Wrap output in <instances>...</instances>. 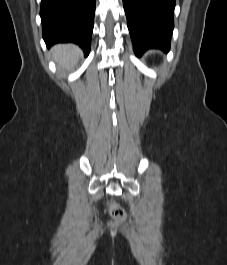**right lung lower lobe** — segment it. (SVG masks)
Wrapping results in <instances>:
<instances>
[{
	"instance_id": "98d812e1",
	"label": "right lung lower lobe",
	"mask_w": 227,
	"mask_h": 265,
	"mask_svg": "<svg viewBox=\"0 0 227 265\" xmlns=\"http://www.w3.org/2000/svg\"><path fill=\"white\" fill-rule=\"evenodd\" d=\"M96 0H41L43 39L48 47L56 43L78 44L90 52Z\"/></svg>"
}]
</instances>
